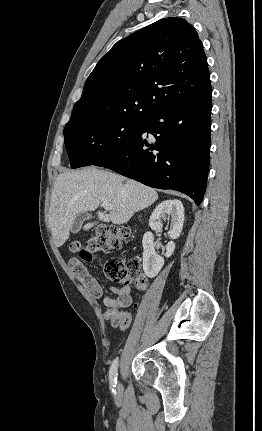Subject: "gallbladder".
Returning a JSON list of instances; mask_svg holds the SVG:
<instances>
[{"label":"gallbladder","instance_id":"bac80fb5","mask_svg":"<svg viewBox=\"0 0 262 431\" xmlns=\"http://www.w3.org/2000/svg\"><path fill=\"white\" fill-rule=\"evenodd\" d=\"M91 217V215H89L87 212H81L79 214L76 215V217L74 218L72 225L70 227V231L73 234H76L80 231L81 226L83 224V222L87 219H89Z\"/></svg>","mask_w":262,"mask_h":431}]
</instances>
